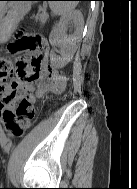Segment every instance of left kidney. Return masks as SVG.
Masks as SVG:
<instances>
[{"mask_svg": "<svg viewBox=\"0 0 137 189\" xmlns=\"http://www.w3.org/2000/svg\"><path fill=\"white\" fill-rule=\"evenodd\" d=\"M82 15L78 11H73V8H67L62 13L59 23L56 24L50 35V42L52 45H58L61 48V57L51 53L50 60L53 64L58 66L66 65L73 57V53L69 49L70 40L64 34L68 21H80Z\"/></svg>", "mask_w": 137, "mask_h": 189, "instance_id": "5707ae66", "label": "left kidney"}]
</instances>
